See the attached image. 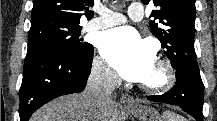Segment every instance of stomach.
Segmentation results:
<instances>
[{
    "label": "stomach",
    "mask_w": 217,
    "mask_h": 121,
    "mask_svg": "<svg viewBox=\"0 0 217 121\" xmlns=\"http://www.w3.org/2000/svg\"><path fill=\"white\" fill-rule=\"evenodd\" d=\"M127 110L139 121H163L164 118L155 108L147 105L139 104L135 107H129Z\"/></svg>",
    "instance_id": "stomach-1"
}]
</instances>
